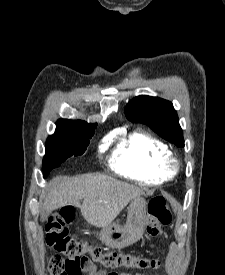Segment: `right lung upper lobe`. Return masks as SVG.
<instances>
[{"label":"right lung upper lobe","instance_id":"right-lung-upper-lobe-1","mask_svg":"<svg viewBox=\"0 0 225 275\" xmlns=\"http://www.w3.org/2000/svg\"><path fill=\"white\" fill-rule=\"evenodd\" d=\"M59 125H72V126H81V127H96V124H88L82 120H68V119H60L57 121Z\"/></svg>","mask_w":225,"mask_h":275}]
</instances>
